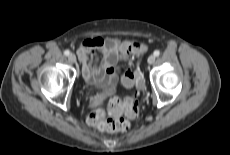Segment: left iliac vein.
<instances>
[{
  "label": "left iliac vein",
  "mask_w": 230,
  "mask_h": 155,
  "mask_svg": "<svg viewBox=\"0 0 230 155\" xmlns=\"http://www.w3.org/2000/svg\"><path fill=\"white\" fill-rule=\"evenodd\" d=\"M155 60H156V58H155L154 55H150V56L148 57V63H149V64H153V63L155 62Z\"/></svg>",
  "instance_id": "left-iliac-vein-1"
}]
</instances>
